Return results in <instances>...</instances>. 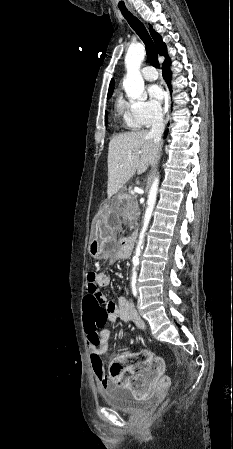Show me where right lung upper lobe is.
I'll return each mask as SVG.
<instances>
[{"instance_id":"1","label":"right lung upper lobe","mask_w":233,"mask_h":449,"mask_svg":"<svg viewBox=\"0 0 233 449\" xmlns=\"http://www.w3.org/2000/svg\"><path fill=\"white\" fill-rule=\"evenodd\" d=\"M149 29H150V34L156 44L158 53L165 57V61L163 64L170 62V58L167 54L166 44L162 41L161 36L157 32L154 31V29L151 25H149ZM113 89H114V80L112 79L110 82V85H109L108 94H112Z\"/></svg>"}]
</instances>
